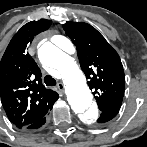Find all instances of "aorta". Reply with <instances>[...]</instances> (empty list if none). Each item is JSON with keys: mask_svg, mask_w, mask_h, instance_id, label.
Listing matches in <instances>:
<instances>
[{"mask_svg": "<svg viewBox=\"0 0 147 147\" xmlns=\"http://www.w3.org/2000/svg\"><path fill=\"white\" fill-rule=\"evenodd\" d=\"M63 42L68 48L74 49L67 38H64ZM39 58L43 64L59 71L66 85L67 100L72 110L84 122H93L98 116V111L93 103L86 77L74 58L51 43H45L40 48Z\"/></svg>", "mask_w": 147, "mask_h": 147, "instance_id": "aorta-1", "label": "aorta"}]
</instances>
